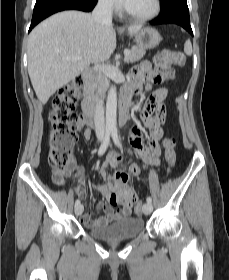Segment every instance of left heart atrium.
I'll use <instances>...</instances> for the list:
<instances>
[{
    "label": "left heart atrium",
    "mask_w": 229,
    "mask_h": 280,
    "mask_svg": "<svg viewBox=\"0 0 229 280\" xmlns=\"http://www.w3.org/2000/svg\"><path fill=\"white\" fill-rule=\"evenodd\" d=\"M130 1L131 0H117V2L123 7H126Z\"/></svg>",
    "instance_id": "obj_1"
}]
</instances>
